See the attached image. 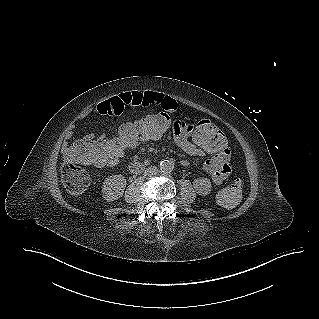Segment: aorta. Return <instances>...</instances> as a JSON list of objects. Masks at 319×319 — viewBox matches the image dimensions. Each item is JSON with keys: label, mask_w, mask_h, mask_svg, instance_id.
<instances>
[{"label": "aorta", "mask_w": 319, "mask_h": 319, "mask_svg": "<svg viewBox=\"0 0 319 319\" xmlns=\"http://www.w3.org/2000/svg\"><path fill=\"white\" fill-rule=\"evenodd\" d=\"M173 167H174L173 162L170 160H162L160 162V170L162 172H165V173L171 172Z\"/></svg>", "instance_id": "aorta-1"}]
</instances>
